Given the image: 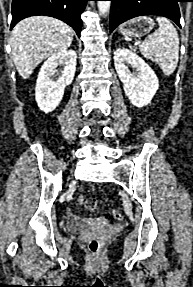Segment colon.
<instances>
[{
  "label": "colon",
  "instance_id": "1",
  "mask_svg": "<svg viewBox=\"0 0 193 287\" xmlns=\"http://www.w3.org/2000/svg\"><path fill=\"white\" fill-rule=\"evenodd\" d=\"M77 201L79 204L85 206L88 210L94 211L98 209V202L93 197H85L83 195L78 196ZM114 219L122 220L123 216L119 211H113ZM89 249L92 252H97L101 246V241L97 238H91L88 242Z\"/></svg>",
  "mask_w": 193,
  "mask_h": 287
}]
</instances>
